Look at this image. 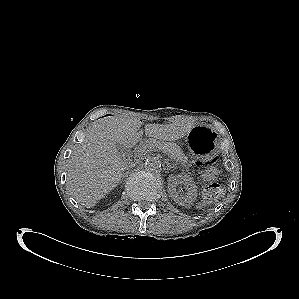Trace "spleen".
I'll list each match as a JSON object with an SVG mask.
<instances>
[{
    "mask_svg": "<svg viewBox=\"0 0 299 299\" xmlns=\"http://www.w3.org/2000/svg\"><path fill=\"white\" fill-rule=\"evenodd\" d=\"M207 206V203L206 202H199L197 203V205L195 206L196 209H202V208H205Z\"/></svg>",
    "mask_w": 299,
    "mask_h": 299,
    "instance_id": "obj_1",
    "label": "spleen"
}]
</instances>
